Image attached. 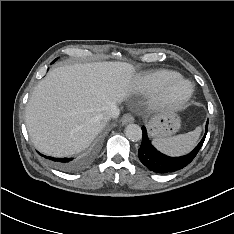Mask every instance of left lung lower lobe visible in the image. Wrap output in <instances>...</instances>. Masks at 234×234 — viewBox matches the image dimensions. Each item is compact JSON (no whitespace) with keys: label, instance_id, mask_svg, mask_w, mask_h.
<instances>
[{"label":"left lung lower lobe","instance_id":"left-lung-lower-lobe-1","mask_svg":"<svg viewBox=\"0 0 234 234\" xmlns=\"http://www.w3.org/2000/svg\"><path fill=\"white\" fill-rule=\"evenodd\" d=\"M208 130L206 123L205 135L195 149L187 155L180 157H169L157 151L150 143L145 127H142L143 137L141 147L138 150L140 161L150 170L157 173H168L180 170L187 166L197 155L203 145Z\"/></svg>","mask_w":234,"mask_h":234}]
</instances>
